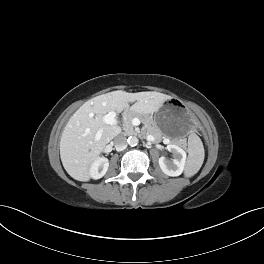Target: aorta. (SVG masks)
<instances>
[{
    "instance_id": "762f6f07",
    "label": "aorta",
    "mask_w": 264,
    "mask_h": 264,
    "mask_svg": "<svg viewBox=\"0 0 264 264\" xmlns=\"http://www.w3.org/2000/svg\"><path fill=\"white\" fill-rule=\"evenodd\" d=\"M127 142L130 146H136L138 144V138L136 136H130L128 137Z\"/></svg>"
}]
</instances>
